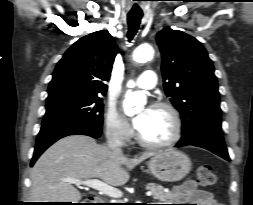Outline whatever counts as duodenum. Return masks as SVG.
<instances>
[{
	"label": "duodenum",
	"mask_w": 253,
	"mask_h": 205,
	"mask_svg": "<svg viewBox=\"0 0 253 205\" xmlns=\"http://www.w3.org/2000/svg\"><path fill=\"white\" fill-rule=\"evenodd\" d=\"M93 201L96 203V204H100V202L102 201L100 197H94L93 198Z\"/></svg>",
	"instance_id": "obj_1"
}]
</instances>
